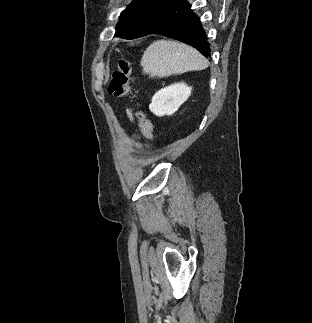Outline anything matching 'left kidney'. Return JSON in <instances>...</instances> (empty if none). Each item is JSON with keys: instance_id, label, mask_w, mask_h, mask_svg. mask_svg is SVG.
<instances>
[{"instance_id": "obj_1", "label": "left kidney", "mask_w": 312, "mask_h": 323, "mask_svg": "<svg viewBox=\"0 0 312 323\" xmlns=\"http://www.w3.org/2000/svg\"><path fill=\"white\" fill-rule=\"evenodd\" d=\"M191 90L192 88H188L183 82L167 86V88H163V90H159L157 94H154L149 110L155 116H171V114L177 112L181 104L186 102Z\"/></svg>"}]
</instances>
